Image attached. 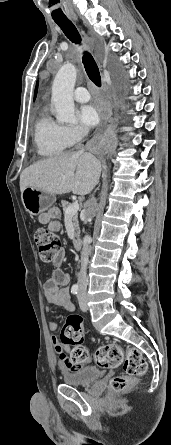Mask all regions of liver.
I'll use <instances>...</instances> for the list:
<instances>
[{
  "label": "liver",
  "mask_w": 171,
  "mask_h": 445,
  "mask_svg": "<svg viewBox=\"0 0 171 445\" xmlns=\"http://www.w3.org/2000/svg\"><path fill=\"white\" fill-rule=\"evenodd\" d=\"M100 174L101 163L92 154L64 153L27 167L20 175V190L34 187L52 195L83 196L93 190Z\"/></svg>",
  "instance_id": "1"
}]
</instances>
